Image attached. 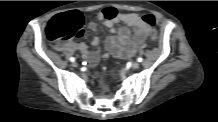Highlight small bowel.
Wrapping results in <instances>:
<instances>
[{
    "label": "small bowel",
    "instance_id": "1",
    "mask_svg": "<svg viewBox=\"0 0 218 122\" xmlns=\"http://www.w3.org/2000/svg\"><path fill=\"white\" fill-rule=\"evenodd\" d=\"M121 23L123 27L118 31L117 35L110 36L106 40L107 51L120 58L131 57L143 44L149 35L152 34L153 28L148 26L136 13H119L116 8L107 7L97 13H90L88 15L89 29L94 31L98 26L104 24L111 33H116L115 24ZM99 39L94 38L92 45L97 47ZM70 47L78 50L83 58L94 66L100 58V51L98 48L90 50L84 42H70L68 44L61 42L57 44L58 49Z\"/></svg>",
    "mask_w": 218,
    "mask_h": 122
}]
</instances>
